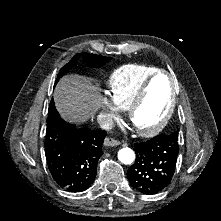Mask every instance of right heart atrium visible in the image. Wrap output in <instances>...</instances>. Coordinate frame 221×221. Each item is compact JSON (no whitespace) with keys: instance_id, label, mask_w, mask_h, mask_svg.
<instances>
[{"instance_id":"1","label":"right heart atrium","mask_w":221,"mask_h":221,"mask_svg":"<svg viewBox=\"0 0 221 221\" xmlns=\"http://www.w3.org/2000/svg\"><path fill=\"white\" fill-rule=\"evenodd\" d=\"M102 100H103L104 112L106 113L108 121L117 118L119 115V107L116 101L114 100V98L105 96L103 97Z\"/></svg>"}]
</instances>
